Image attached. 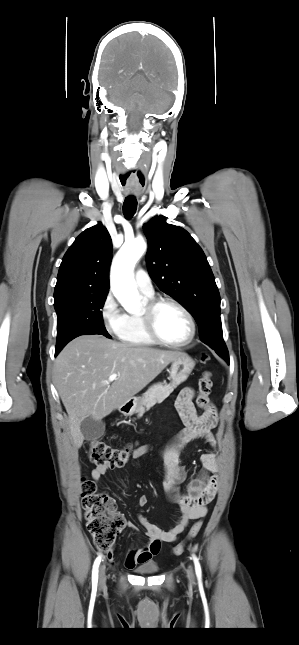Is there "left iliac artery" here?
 Masks as SVG:
<instances>
[{"instance_id": "1", "label": "left iliac artery", "mask_w": 299, "mask_h": 645, "mask_svg": "<svg viewBox=\"0 0 299 645\" xmlns=\"http://www.w3.org/2000/svg\"><path fill=\"white\" fill-rule=\"evenodd\" d=\"M193 561H194V565H195L196 575H197L198 579H201V566H200V563H199V561H198V559H197V557L195 555H193Z\"/></svg>"}]
</instances>
